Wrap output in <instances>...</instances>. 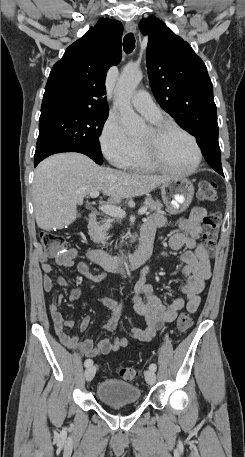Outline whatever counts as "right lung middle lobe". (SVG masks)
<instances>
[{
  "mask_svg": "<svg viewBox=\"0 0 245 457\" xmlns=\"http://www.w3.org/2000/svg\"><path fill=\"white\" fill-rule=\"evenodd\" d=\"M108 111L60 108L41 113L35 157L53 150L79 152L102 164L99 135Z\"/></svg>",
  "mask_w": 245,
  "mask_h": 457,
  "instance_id": "obj_1",
  "label": "right lung middle lobe"
}]
</instances>
